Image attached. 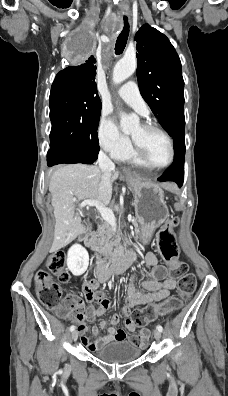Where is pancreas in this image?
Listing matches in <instances>:
<instances>
[{
	"mask_svg": "<svg viewBox=\"0 0 228 396\" xmlns=\"http://www.w3.org/2000/svg\"><path fill=\"white\" fill-rule=\"evenodd\" d=\"M136 220V216L131 217V223L136 232L135 239L137 240V234L140 232V229ZM98 237L99 252L103 255L111 254L113 250V227L108 222L101 228Z\"/></svg>",
	"mask_w": 228,
	"mask_h": 396,
	"instance_id": "obj_1",
	"label": "pancreas"
}]
</instances>
